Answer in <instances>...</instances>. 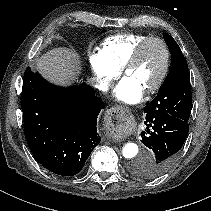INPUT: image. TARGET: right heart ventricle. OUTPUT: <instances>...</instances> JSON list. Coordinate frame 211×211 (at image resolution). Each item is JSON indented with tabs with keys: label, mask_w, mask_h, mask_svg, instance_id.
Instances as JSON below:
<instances>
[{
	"label": "right heart ventricle",
	"mask_w": 211,
	"mask_h": 211,
	"mask_svg": "<svg viewBox=\"0 0 211 211\" xmlns=\"http://www.w3.org/2000/svg\"><path fill=\"white\" fill-rule=\"evenodd\" d=\"M141 33H122L106 38L101 53L115 67L122 69L136 45L146 38Z\"/></svg>",
	"instance_id": "obj_1"
}]
</instances>
